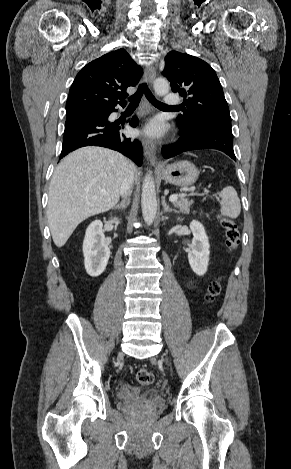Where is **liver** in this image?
Segmentation results:
<instances>
[{"mask_svg":"<svg viewBox=\"0 0 291 469\" xmlns=\"http://www.w3.org/2000/svg\"><path fill=\"white\" fill-rule=\"evenodd\" d=\"M131 163L122 154L102 147H83L57 166L49 188L47 219L58 248L90 216L113 208ZM135 179L138 172L134 167Z\"/></svg>","mask_w":291,"mask_h":469,"instance_id":"6515ba94","label":"liver"}]
</instances>
